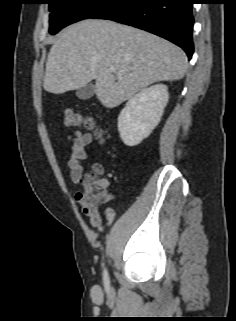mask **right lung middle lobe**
<instances>
[{
    "label": "right lung middle lobe",
    "mask_w": 236,
    "mask_h": 321,
    "mask_svg": "<svg viewBox=\"0 0 236 321\" xmlns=\"http://www.w3.org/2000/svg\"><path fill=\"white\" fill-rule=\"evenodd\" d=\"M110 0H48L51 34L74 22L87 19L104 8Z\"/></svg>",
    "instance_id": "dd1d6c3e"
}]
</instances>
